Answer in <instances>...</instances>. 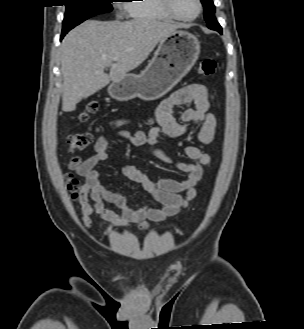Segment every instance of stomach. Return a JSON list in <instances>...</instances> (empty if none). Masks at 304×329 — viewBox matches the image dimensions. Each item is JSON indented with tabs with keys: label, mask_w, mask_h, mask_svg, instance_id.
Returning <instances> with one entry per match:
<instances>
[{
	"label": "stomach",
	"mask_w": 304,
	"mask_h": 329,
	"mask_svg": "<svg viewBox=\"0 0 304 329\" xmlns=\"http://www.w3.org/2000/svg\"><path fill=\"white\" fill-rule=\"evenodd\" d=\"M199 54L200 42L193 34L175 31L160 41L154 57L140 74H127L112 82L108 93L118 101L159 99L190 71Z\"/></svg>",
	"instance_id": "obj_1"
}]
</instances>
